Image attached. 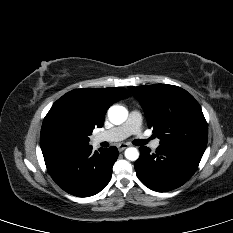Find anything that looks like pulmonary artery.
Segmentation results:
<instances>
[{"instance_id":"1","label":"pulmonary artery","mask_w":233,"mask_h":233,"mask_svg":"<svg viewBox=\"0 0 233 233\" xmlns=\"http://www.w3.org/2000/svg\"><path fill=\"white\" fill-rule=\"evenodd\" d=\"M141 122H142L141 114L138 111L133 110L130 112L128 119L123 124L114 127L110 130L98 133L94 137V142L100 143L103 141H108V142L121 141L132 134L142 138ZM159 145L160 142L158 139L153 140L151 143V147L153 149H157Z\"/></svg>"}]
</instances>
